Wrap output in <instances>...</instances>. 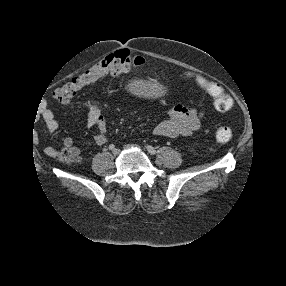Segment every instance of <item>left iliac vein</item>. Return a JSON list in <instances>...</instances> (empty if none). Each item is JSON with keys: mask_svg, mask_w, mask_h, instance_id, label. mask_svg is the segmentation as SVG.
Returning a JSON list of instances; mask_svg holds the SVG:
<instances>
[{"mask_svg": "<svg viewBox=\"0 0 286 286\" xmlns=\"http://www.w3.org/2000/svg\"><path fill=\"white\" fill-rule=\"evenodd\" d=\"M129 147H136V148H138V149H141V147H140L139 145H136V144H132V145L128 144V145H125V148H129Z\"/></svg>", "mask_w": 286, "mask_h": 286, "instance_id": "obj_1", "label": "left iliac vein"}]
</instances>
